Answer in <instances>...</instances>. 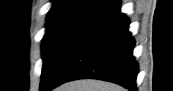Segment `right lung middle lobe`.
<instances>
[{"instance_id": "1", "label": "right lung middle lobe", "mask_w": 173, "mask_h": 91, "mask_svg": "<svg viewBox=\"0 0 173 91\" xmlns=\"http://www.w3.org/2000/svg\"><path fill=\"white\" fill-rule=\"evenodd\" d=\"M102 5L111 7L115 5V2L106 0ZM84 24L83 22L70 21L47 25V31L42 40L43 68L41 83L48 79L70 41Z\"/></svg>"}]
</instances>
